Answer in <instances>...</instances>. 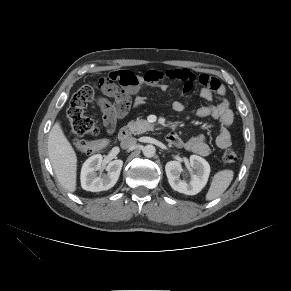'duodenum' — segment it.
<instances>
[{"label":"duodenum","mask_w":291,"mask_h":291,"mask_svg":"<svg viewBox=\"0 0 291 291\" xmlns=\"http://www.w3.org/2000/svg\"><path fill=\"white\" fill-rule=\"evenodd\" d=\"M130 134H131V132H130V129L128 127H122L119 130L118 138H119V140L124 141V140L129 138ZM172 139H173V137L169 134L167 136V140L170 142Z\"/></svg>","instance_id":"obj_1"}]
</instances>
